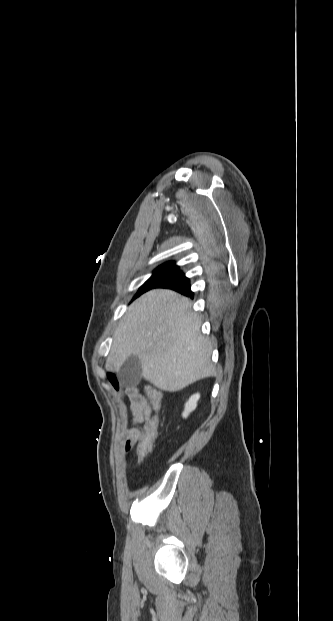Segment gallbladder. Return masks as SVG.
<instances>
[{"label":"gallbladder","instance_id":"1","mask_svg":"<svg viewBox=\"0 0 333 621\" xmlns=\"http://www.w3.org/2000/svg\"><path fill=\"white\" fill-rule=\"evenodd\" d=\"M117 378L126 387L138 385L142 378L140 360L134 355L128 357L117 372Z\"/></svg>","mask_w":333,"mask_h":621}]
</instances>
